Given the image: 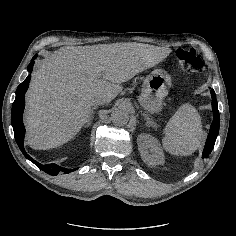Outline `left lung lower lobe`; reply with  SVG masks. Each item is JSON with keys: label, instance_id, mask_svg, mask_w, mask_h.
I'll return each mask as SVG.
<instances>
[{"label": "left lung lower lobe", "instance_id": "left-lung-lower-lobe-1", "mask_svg": "<svg viewBox=\"0 0 236 236\" xmlns=\"http://www.w3.org/2000/svg\"><path fill=\"white\" fill-rule=\"evenodd\" d=\"M211 95H212V109H213V116L214 117H213V122L211 124V128H210L207 140H206V144L204 147V151H203V155H202L203 158L208 157V155L211 153V151L214 147L217 135L219 133V123H220L219 111H218L217 100H216L215 93H214L213 89L211 90Z\"/></svg>", "mask_w": 236, "mask_h": 236}]
</instances>
